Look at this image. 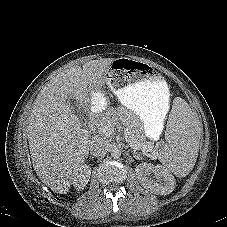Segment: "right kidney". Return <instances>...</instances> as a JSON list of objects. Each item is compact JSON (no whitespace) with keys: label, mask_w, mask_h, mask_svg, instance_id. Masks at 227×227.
Segmentation results:
<instances>
[{"label":"right kidney","mask_w":227,"mask_h":227,"mask_svg":"<svg viewBox=\"0 0 227 227\" xmlns=\"http://www.w3.org/2000/svg\"><path fill=\"white\" fill-rule=\"evenodd\" d=\"M91 175V168L89 165H82L73 176V185L79 191L83 190L88 184Z\"/></svg>","instance_id":"ca27d5eb"}]
</instances>
